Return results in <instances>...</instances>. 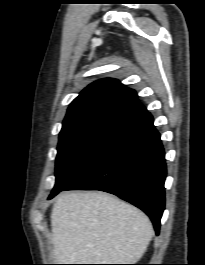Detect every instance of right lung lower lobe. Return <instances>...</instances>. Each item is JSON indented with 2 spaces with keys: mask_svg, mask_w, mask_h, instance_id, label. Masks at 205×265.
Segmentation results:
<instances>
[{
  "mask_svg": "<svg viewBox=\"0 0 205 265\" xmlns=\"http://www.w3.org/2000/svg\"><path fill=\"white\" fill-rule=\"evenodd\" d=\"M153 122L149 112L131 122L62 190L115 194L143 210L159 234L165 206L166 163L160 134ZM58 193L51 194L49 199Z\"/></svg>",
  "mask_w": 205,
  "mask_h": 265,
  "instance_id": "98d812e1",
  "label": "right lung lower lobe"
}]
</instances>
